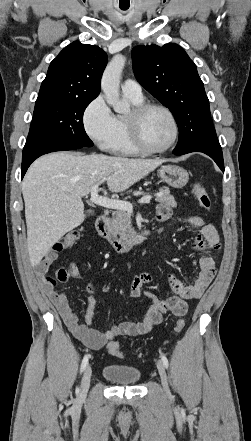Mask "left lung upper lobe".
Wrapping results in <instances>:
<instances>
[{"instance_id": "5c2ea615", "label": "left lung upper lobe", "mask_w": 251, "mask_h": 441, "mask_svg": "<svg viewBox=\"0 0 251 441\" xmlns=\"http://www.w3.org/2000/svg\"><path fill=\"white\" fill-rule=\"evenodd\" d=\"M137 81L174 115L178 128L209 117L206 96L196 65L177 44L136 46L132 50Z\"/></svg>"}]
</instances>
